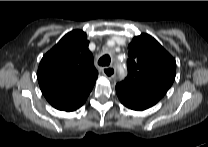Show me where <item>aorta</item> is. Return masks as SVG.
<instances>
[{"mask_svg":"<svg viewBox=\"0 0 208 147\" xmlns=\"http://www.w3.org/2000/svg\"><path fill=\"white\" fill-rule=\"evenodd\" d=\"M119 72H120L121 75L125 74V71H124V69L122 67H119Z\"/></svg>","mask_w":208,"mask_h":147,"instance_id":"aorta-1","label":"aorta"}]
</instances>
